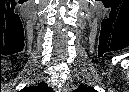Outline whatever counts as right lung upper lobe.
Instances as JSON below:
<instances>
[{
    "instance_id": "cb5924a9",
    "label": "right lung upper lobe",
    "mask_w": 129,
    "mask_h": 92,
    "mask_svg": "<svg viewBox=\"0 0 129 92\" xmlns=\"http://www.w3.org/2000/svg\"><path fill=\"white\" fill-rule=\"evenodd\" d=\"M48 90V85L45 83H40L38 86H30L21 90V92H40Z\"/></svg>"
}]
</instances>
